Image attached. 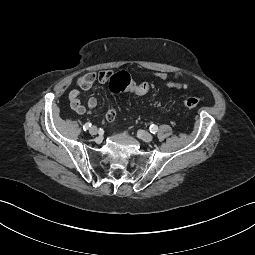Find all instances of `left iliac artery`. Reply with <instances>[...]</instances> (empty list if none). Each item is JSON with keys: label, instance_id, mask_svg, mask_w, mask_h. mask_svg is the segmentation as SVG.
I'll return each instance as SVG.
<instances>
[{"label": "left iliac artery", "instance_id": "obj_1", "mask_svg": "<svg viewBox=\"0 0 255 255\" xmlns=\"http://www.w3.org/2000/svg\"><path fill=\"white\" fill-rule=\"evenodd\" d=\"M158 131V127L156 125H151L150 126V132L155 134Z\"/></svg>", "mask_w": 255, "mask_h": 255}]
</instances>
